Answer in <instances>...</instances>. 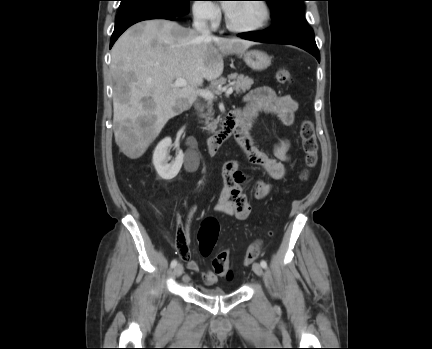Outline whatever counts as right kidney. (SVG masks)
<instances>
[{"mask_svg": "<svg viewBox=\"0 0 432 349\" xmlns=\"http://www.w3.org/2000/svg\"><path fill=\"white\" fill-rule=\"evenodd\" d=\"M171 145V138L167 137L158 143L153 153V165L158 175L164 180H171L176 177L183 164L184 154L182 151L178 152L175 160L168 163L171 159L168 154Z\"/></svg>", "mask_w": 432, "mask_h": 349, "instance_id": "right-kidney-1", "label": "right kidney"}]
</instances>
